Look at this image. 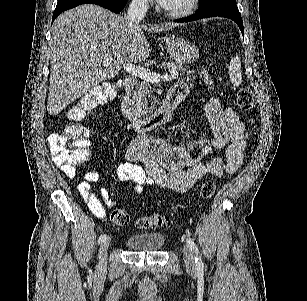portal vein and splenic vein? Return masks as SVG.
Here are the masks:
<instances>
[{
	"label": "portal vein and splenic vein",
	"instance_id": "18ae733b",
	"mask_svg": "<svg viewBox=\"0 0 307 301\" xmlns=\"http://www.w3.org/2000/svg\"><path fill=\"white\" fill-rule=\"evenodd\" d=\"M110 62H112V58H107V60H104L103 66H107ZM124 68L129 74L139 76L143 80H150V82H160L161 78L163 80H172L173 78L171 74H157V72H153L149 68H143V66H137V64H125ZM174 76H178L177 72H174Z\"/></svg>",
	"mask_w": 307,
	"mask_h": 301
}]
</instances>
